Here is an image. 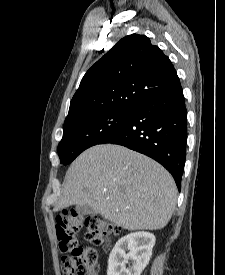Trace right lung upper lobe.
Returning a JSON list of instances; mask_svg holds the SVG:
<instances>
[{
    "mask_svg": "<svg viewBox=\"0 0 225 275\" xmlns=\"http://www.w3.org/2000/svg\"><path fill=\"white\" fill-rule=\"evenodd\" d=\"M179 86L176 70L162 50L144 35H128L86 72L64 125L97 113L133 110Z\"/></svg>",
    "mask_w": 225,
    "mask_h": 275,
    "instance_id": "right-lung-upper-lobe-1",
    "label": "right lung upper lobe"
}]
</instances>
